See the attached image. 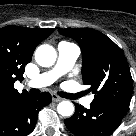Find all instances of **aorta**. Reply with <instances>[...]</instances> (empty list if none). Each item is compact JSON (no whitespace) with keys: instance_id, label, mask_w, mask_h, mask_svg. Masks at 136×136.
I'll use <instances>...</instances> for the list:
<instances>
[{"instance_id":"aorta-1","label":"aorta","mask_w":136,"mask_h":136,"mask_svg":"<svg viewBox=\"0 0 136 136\" xmlns=\"http://www.w3.org/2000/svg\"><path fill=\"white\" fill-rule=\"evenodd\" d=\"M55 49L47 44L39 46L35 51V60L42 67L52 66L56 61ZM61 116L69 117L74 113V105L70 101H62L57 106Z\"/></svg>"}]
</instances>
